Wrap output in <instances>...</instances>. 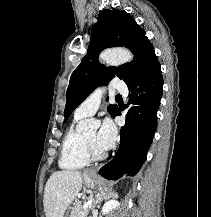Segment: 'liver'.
<instances>
[{
    "label": "liver",
    "instance_id": "liver-1",
    "mask_svg": "<svg viewBox=\"0 0 211 217\" xmlns=\"http://www.w3.org/2000/svg\"><path fill=\"white\" fill-rule=\"evenodd\" d=\"M82 174L79 171L62 170L54 172L46 182L43 205L46 217H64L68 206L82 188Z\"/></svg>",
    "mask_w": 211,
    "mask_h": 217
}]
</instances>
